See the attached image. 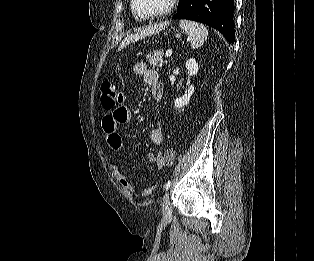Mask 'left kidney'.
Here are the masks:
<instances>
[{"instance_id": "5707ae66", "label": "left kidney", "mask_w": 314, "mask_h": 261, "mask_svg": "<svg viewBox=\"0 0 314 261\" xmlns=\"http://www.w3.org/2000/svg\"><path fill=\"white\" fill-rule=\"evenodd\" d=\"M185 67L186 69L193 75H197L198 73V64L196 62V60L194 58H190L186 61L185 63ZM194 93V85H191L187 92L185 93L184 96H182L181 98H177L174 100V106L177 109H181L182 107L186 106L187 104H189L190 98Z\"/></svg>"}]
</instances>
